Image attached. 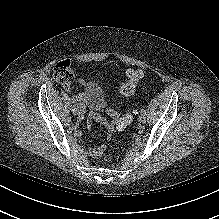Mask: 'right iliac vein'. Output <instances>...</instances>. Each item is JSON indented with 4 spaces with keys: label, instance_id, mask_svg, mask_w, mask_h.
I'll return each instance as SVG.
<instances>
[{
    "label": "right iliac vein",
    "instance_id": "1",
    "mask_svg": "<svg viewBox=\"0 0 219 219\" xmlns=\"http://www.w3.org/2000/svg\"><path fill=\"white\" fill-rule=\"evenodd\" d=\"M72 113H73L74 115H77V114L79 113V108H78V106H77L76 104H74V105L72 106Z\"/></svg>",
    "mask_w": 219,
    "mask_h": 219
}]
</instances>
